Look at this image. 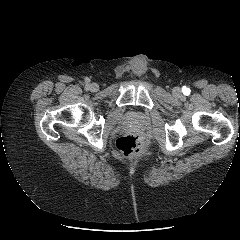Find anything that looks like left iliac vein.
Instances as JSON below:
<instances>
[{
	"instance_id": "4c4485c4",
	"label": "left iliac vein",
	"mask_w": 240,
	"mask_h": 240,
	"mask_svg": "<svg viewBox=\"0 0 240 240\" xmlns=\"http://www.w3.org/2000/svg\"><path fill=\"white\" fill-rule=\"evenodd\" d=\"M173 94L176 95V96H179V95H181V90L179 88H174L173 89Z\"/></svg>"
}]
</instances>
